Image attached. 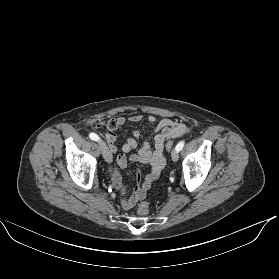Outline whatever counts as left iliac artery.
<instances>
[{"instance_id":"obj_1","label":"left iliac artery","mask_w":279,"mask_h":279,"mask_svg":"<svg viewBox=\"0 0 279 279\" xmlns=\"http://www.w3.org/2000/svg\"><path fill=\"white\" fill-rule=\"evenodd\" d=\"M185 142L184 141H180L177 145H176V150L177 151H181L183 146H184Z\"/></svg>"}]
</instances>
